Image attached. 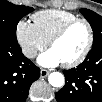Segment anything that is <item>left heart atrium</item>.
<instances>
[{
	"instance_id": "obj_1",
	"label": "left heart atrium",
	"mask_w": 102,
	"mask_h": 102,
	"mask_svg": "<svg viewBox=\"0 0 102 102\" xmlns=\"http://www.w3.org/2000/svg\"><path fill=\"white\" fill-rule=\"evenodd\" d=\"M37 62L44 67H54L62 63L52 50H48L39 55Z\"/></svg>"
}]
</instances>
